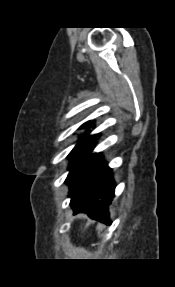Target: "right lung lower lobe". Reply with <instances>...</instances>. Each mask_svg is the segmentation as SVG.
<instances>
[{"mask_svg":"<svg viewBox=\"0 0 175 287\" xmlns=\"http://www.w3.org/2000/svg\"><path fill=\"white\" fill-rule=\"evenodd\" d=\"M74 213L84 212L107 224L108 206L114 197L112 170L99 153L87 156L67 177Z\"/></svg>","mask_w":175,"mask_h":287,"instance_id":"1","label":"right lung lower lobe"}]
</instances>
